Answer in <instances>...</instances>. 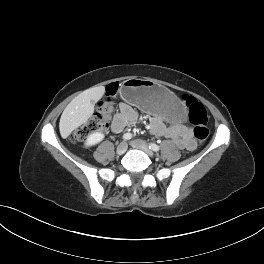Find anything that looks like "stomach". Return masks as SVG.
Returning a JSON list of instances; mask_svg holds the SVG:
<instances>
[{
  "label": "stomach",
  "mask_w": 264,
  "mask_h": 264,
  "mask_svg": "<svg viewBox=\"0 0 264 264\" xmlns=\"http://www.w3.org/2000/svg\"><path fill=\"white\" fill-rule=\"evenodd\" d=\"M121 96L126 102L144 111L163 115L170 126L181 127L189 121V110L181 104L175 94L152 80H125Z\"/></svg>",
  "instance_id": "0dacf381"
}]
</instances>
